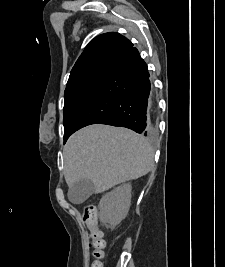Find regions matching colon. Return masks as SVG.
Listing matches in <instances>:
<instances>
[{
	"label": "colon",
	"mask_w": 225,
	"mask_h": 267,
	"mask_svg": "<svg viewBox=\"0 0 225 267\" xmlns=\"http://www.w3.org/2000/svg\"><path fill=\"white\" fill-rule=\"evenodd\" d=\"M82 218L90 231L89 246L92 257L90 267H103L102 259L104 257L105 240L102 230L98 227L96 207L91 204L86 205L83 209Z\"/></svg>",
	"instance_id": "1"
}]
</instances>
